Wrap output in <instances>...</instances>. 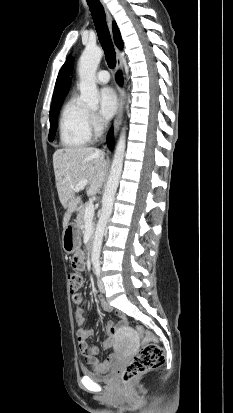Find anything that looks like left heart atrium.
<instances>
[{"instance_id": "obj_1", "label": "left heart atrium", "mask_w": 233, "mask_h": 413, "mask_svg": "<svg viewBox=\"0 0 233 413\" xmlns=\"http://www.w3.org/2000/svg\"><path fill=\"white\" fill-rule=\"evenodd\" d=\"M118 108V98L111 87H105L100 92V115L108 120L114 116Z\"/></svg>"}]
</instances>
